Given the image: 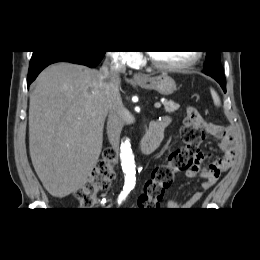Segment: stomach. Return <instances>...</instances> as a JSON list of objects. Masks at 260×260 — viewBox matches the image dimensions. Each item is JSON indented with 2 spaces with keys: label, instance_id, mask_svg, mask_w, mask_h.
Instances as JSON below:
<instances>
[{
  "label": "stomach",
  "instance_id": "obj_1",
  "mask_svg": "<svg viewBox=\"0 0 260 260\" xmlns=\"http://www.w3.org/2000/svg\"><path fill=\"white\" fill-rule=\"evenodd\" d=\"M137 84L143 89L155 90L164 96L171 95L177 89L174 79L167 74L147 77L144 81H137Z\"/></svg>",
  "mask_w": 260,
  "mask_h": 260
}]
</instances>
